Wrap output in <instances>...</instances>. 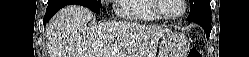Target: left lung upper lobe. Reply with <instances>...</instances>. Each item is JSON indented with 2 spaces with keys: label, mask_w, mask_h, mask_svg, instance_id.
I'll return each mask as SVG.
<instances>
[{
  "label": "left lung upper lobe",
  "mask_w": 249,
  "mask_h": 57,
  "mask_svg": "<svg viewBox=\"0 0 249 57\" xmlns=\"http://www.w3.org/2000/svg\"><path fill=\"white\" fill-rule=\"evenodd\" d=\"M190 13L187 20L211 21V7L209 0H189Z\"/></svg>",
  "instance_id": "left-lung-upper-lobe-1"
}]
</instances>
